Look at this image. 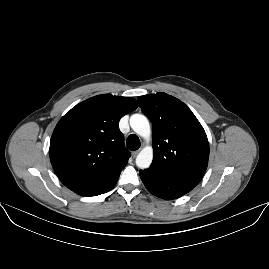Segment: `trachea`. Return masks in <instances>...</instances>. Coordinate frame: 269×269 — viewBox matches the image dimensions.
<instances>
[{"mask_svg": "<svg viewBox=\"0 0 269 269\" xmlns=\"http://www.w3.org/2000/svg\"><path fill=\"white\" fill-rule=\"evenodd\" d=\"M126 146L129 150L135 151L140 147V140L135 134H131L128 136L126 140Z\"/></svg>", "mask_w": 269, "mask_h": 269, "instance_id": "3493384b", "label": "trachea"}]
</instances>
